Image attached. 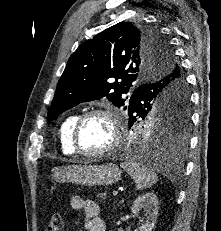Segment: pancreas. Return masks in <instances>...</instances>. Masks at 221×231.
I'll return each instance as SVG.
<instances>
[{
	"label": "pancreas",
	"instance_id": "1",
	"mask_svg": "<svg viewBox=\"0 0 221 231\" xmlns=\"http://www.w3.org/2000/svg\"><path fill=\"white\" fill-rule=\"evenodd\" d=\"M97 196H99L102 200L106 199V197L103 194H98Z\"/></svg>",
	"mask_w": 221,
	"mask_h": 231
}]
</instances>
